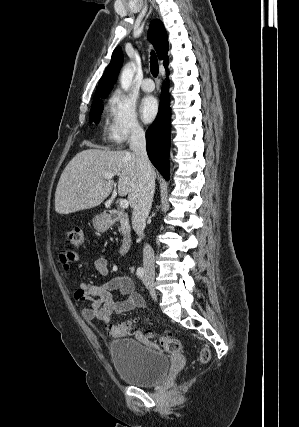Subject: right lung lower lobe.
Segmentation results:
<instances>
[{
    "label": "right lung lower lobe",
    "mask_w": 299,
    "mask_h": 427,
    "mask_svg": "<svg viewBox=\"0 0 299 427\" xmlns=\"http://www.w3.org/2000/svg\"><path fill=\"white\" fill-rule=\"evenodd\" d=\"M170 133L169 96L164 85L160 109L155 121L146 132V142L149 159L166 180L169 179Z\"/></svg>",
    "instance_id": "obj_1"
}]
</instances>
